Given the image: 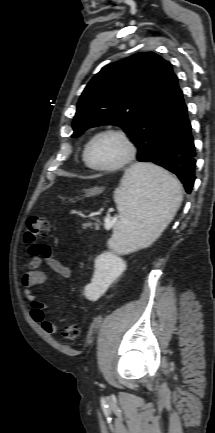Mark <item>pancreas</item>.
Returning a JSON list of instances; mask_svg holds the SVG:
<instances>
[{
  "mask_svg": "<svg viewBox=\"0 0 215 433\" xmlns=\"http://www.w3.org/2000/svg\"><path fill=\"white\" fill-rule=\"evenodd\" d=\"M93 225L95 226L96 229H98L99 226H100V221H97V222L94 223V224L91 223V222L85 223V224L83 225V228H84V229L92 228Z\"/></svg>",
  "mask_w": 215,
  "mask_h": 433,
  "instance_id": "obj_1",
  "label": "pancreas"
}]
</instances>
